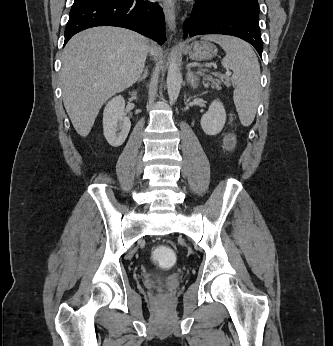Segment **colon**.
I'll list each match as a JSON object with an SVG mask.
<instances>
[{"label": "colon", "mask_w": 333, "mask_h": 346, "mask_svg": "<svg viewBox=\"0 0 333 346\" xmlns=\"http://www.w3.org/2000/svg\"><path fill=\"white\" fill-rule=\"evenodd\" d=\"M224 145L227 149L232 150L236 146V136L233 132H227L224 136ZM154 264H158V271H168L169 268H174L175 252L174 249H169L168 244H157L155 249ZM159 294H163V290H159Z\"/></svg>", "instance_id": "obj_1"}]
</instances>
